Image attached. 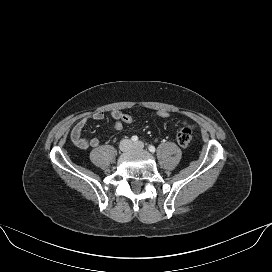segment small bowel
Segmentation results:
<instances>
[{"mask_svg":"<svg viewBox=\"0 0 272 272\" xmlns=\"http://www.w3.org/2000/svg\"><path fill=\"white\" fill-rule=\"evenodd\" d=\"M121 112L118 110H114L110 113L111 118L114 120L113 125V132H119L123 129L124 123L121 121L120 116ZM104 112L102 111H95L89 116L81 118L72 128L70 132V139L72 143L83 150L89 149V148H95L98 147L101 143V140L103 136H97L92 138H86L83 136V129L86 126L87 122L89 120H95L100 121L104 119ZM184 125L186 127L193 128L192 125L188 124L187 122H184Z\"/></svg>","mask_w":272,"mask_h":272,"instance_id":"small-bowel-1","label":"small bowel"}]
</instances>
